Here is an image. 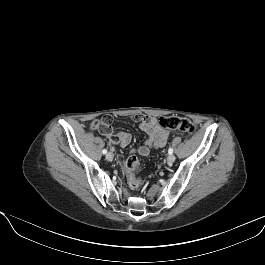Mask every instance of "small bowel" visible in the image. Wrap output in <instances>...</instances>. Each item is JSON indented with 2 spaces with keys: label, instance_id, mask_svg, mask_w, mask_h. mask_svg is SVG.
<instances>
[{
  "label": "small bowel",
  "instance_id": "c3829d8e",
  "mask_svg": "<svg viewBox=\"0 0 265 265\" xmlns=\"http://www.w3.org/2000/svg\"><path fill=\"white\" fill-rule=\"evenodd\" d=\"M130 119L147 134L145 143L142 146L133 149L132 152L141 156H147L151 150L165 146L168 140V131L158 126L155 118L144 115H133ZM102 134L108 137L111 143L117 144L120 147L128 146L132 140L131 134L123 131L113 133L112 130H110L108 133ZM118 161L121 163L120 157L118 158Z\"/></svg>",
  "mask_w": 265,
  "mask_h": 265
}]
</instances>
